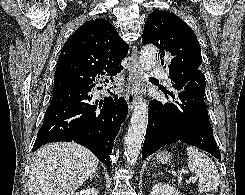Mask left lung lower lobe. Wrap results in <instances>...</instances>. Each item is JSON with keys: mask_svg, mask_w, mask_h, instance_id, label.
I'll use <instances>...</instances> for the list:
<instances>
[{"mask_svg": "<svg viewBox=\"0 0 245 195\" xmlns=\"http://www.w3.org/2000/svg\"><path fill=\"white\" fill-rule=\"evenodd\" d=\"M171 95L175 99V95ZM176 96L175 103H149L142 158L166 144L183 142L211 153L220 161L204 97L191 91H179Z\"/></svg>", "mask_w": 245, "mask_h": 195, "instance_id": "obj_1", "label": "left lung lower lobe"}]
</instances>
